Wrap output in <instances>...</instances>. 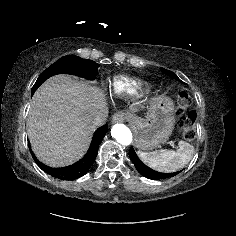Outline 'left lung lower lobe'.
I'll use <instances>...</instances> for the list:
<instances>
[{
    "label": "left lung lower lobe",
    "mask_w": 236,
    "mask_h": 236,
    "mask_svg": "<svg viewBox=\"0 0 236 236\" xmlns=\"http://www.w3.org/2000/svg\"><path fill=\"white\" fill-rule=\"evenodd\" d=\"M129 157L131 161L133 162V164L135 165L138 172L144 177H147L149 179L159 180V179L169 178V177H173L177 175L180 172L179 171V172H174V173H160V172L150 169L149 167H147L145 164L142 163V161L138 158L137 154L135 153L132 147L130 148V151H129ZM150 172H154V174H150Z\"/></svg>",
    "instance_id": "1"
}]
</instances>
